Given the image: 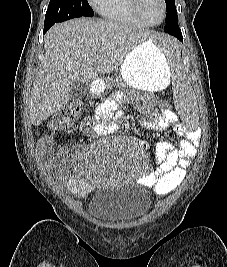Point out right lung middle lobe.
<instances>
[{
  "mask_svg": "<svg viewBox=\"0 0 227 267\" xmlns=\"http://www.w3.org/2000/svg\"><path fill=\"white\" fill-rule=\"evenodd\" d=\"M94 12L87 0H50L45 24L58 23L75 17H92Z\"/></svg>",
  "mask_w": 227,
  "mask_h": 267,
  "instance_id": "right-lung-middle-lobe-1",
  "label": "right lung middle lobe"
}]
</instances>
